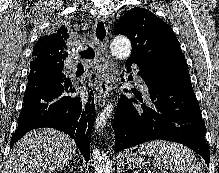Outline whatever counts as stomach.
<instances>
[{
    "label": "stomach",
    "instance_id": "obj_1",
    "mask_svg": "<svg viewBox=\"0 0 219 173\" xmlns=\"http://www.w3.org/2000/svg\"><path fill=\"white\" fill-rule=\"evenodd\" d=\"M123 163L128 168L135 169L144 164V158L135 152H129L125 154V160Z\"/></svg>",
    "mask_w": 219,
    "mask_h": 173
}]
</instances>
